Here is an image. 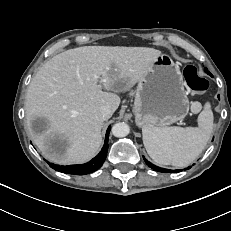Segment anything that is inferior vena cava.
<instances>
[{"label": "inferior vena cava", "instance_id": "1", "mask_svg": "<svg viewBox=\"0 0 231 231\" xmlns=\"http://www.w3.org/2000/svg\"><path fill=\"white\" fill-rule=\"evenodd\" d=\"M100 113L104 119H108L112 116L113 111L108 105H103L100 108Z\"/></svg>", "mask_w": 231, "mask_h": 231}]
</instances>
